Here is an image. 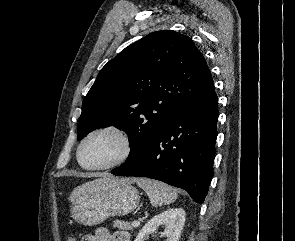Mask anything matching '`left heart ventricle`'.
Listing matches in <instances>:
<instances>
[{"mask_svg":"<svg viewBox=\"0 0 295 241\" xmlns=\"http://www.w3.org/2000/svg\"><path fill=\"white\" fill-rule=\"evenodd\" d=\"M123 149L119 136L111 132H101L93 135L84 144L81 160L87 166L105 165L118 159Z\"/></svg>","mask_w":295,"mask_h":241,"instance_id":"obj_1","label":"left heart ventricle"}]
</instances>
